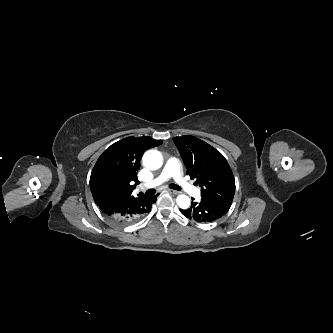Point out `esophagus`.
Instances as JSON below:
<instances>
[{
  "label": "esophagus",
  "mask_w": 333,
  "mask_h": 333,
  "mask_svg": "<svg viewBox=\"0 0 333 333\" xmlns=\"http://www.w3.org/2000/svg\"><path fill=\"white\" fill-rule=\"evenodd\" d=\"M167 192H169L170 194H173V195H178V194H180V192L175 191V190H172V189H168Z\"/></svg>",
  "instance_id": "obj_1"
}]
</instances>
